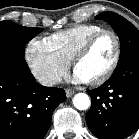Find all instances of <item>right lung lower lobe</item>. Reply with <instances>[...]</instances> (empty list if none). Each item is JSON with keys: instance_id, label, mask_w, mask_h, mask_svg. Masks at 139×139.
<instances>
[{"instance_id": "98d812e1", "label": "right lung lower lobe", "mask_w": 139, "mask_h": 139, "mask_svg": "<svg viewBox=\"0 0 139 139\" xmlns=\"http://www.w3.org/2000/svg\"><path fill=\"white\" fill-rule=\"evenodd\" d=\"M65 91L35 81L24 55L0 49V139H43Z\"/></svg>"}]
</instances>
